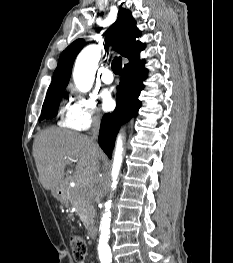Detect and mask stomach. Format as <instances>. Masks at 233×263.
<instances>
[{
    "mask_svg": "<svg viewBox=\"0 0 233 263\" xmlns=\"http://www.w3.org/2000/svg\"><path fill=\"white\" fill-rule=\"evenodd\" d=\"M52 195L61 202H66L65 180H58L52 189Z\"/></svg>",
    "mask_w": 233,
    "mask_h": 263,
    "instance_id": "stomach-1",
    "label": "stomach"
}]
</instances>
